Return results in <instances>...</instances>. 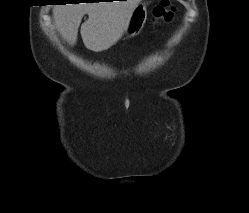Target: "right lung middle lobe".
Listing matches in <instances>:
<instances>
[{
	"mask_svg": "<svg viewBox=\"0 0 249 213\" xmlns=\"http://www.w3.org/2000/svg\"><path fill=\"white\" fill-rule=\"evenodd\" d=\"M61 3H67V2H76L77 0H58Z\"/></svg>",
	"mask_w": 249,
	"mask_h": 213,
	"instance_id": "dd1d6c3e",
	"label": "right lung middle lobe"
}]
</instances>
